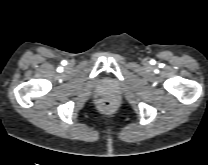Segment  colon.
<instances>
[{"instance_id": "obj_1", "label": "colon", "mask_w": 208, "mask_h": 165, "mask_svg": "<svg viewBox=\"0 0 208 165\" xmlns=\"http://www.w3.org/2000/svg\"><path fill=\"white\" fill-rule=\"evenodd\" d=\"M102 110L108 111L112 108L113 104L110 100H101L99 103Z\"/></svg>"}]
</instances>
